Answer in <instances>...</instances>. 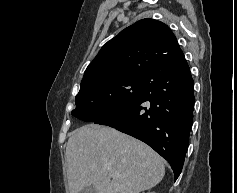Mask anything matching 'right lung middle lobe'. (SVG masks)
<instances>
[{
    "label": "right lung middle lobe",
    "instance_id": "obj_1",
    "mask_svg": "<svg viewBox=\"0 0 237 193\" xmlns=\"http://www.w3.org/2000/svg\"><path fill=\"white\" fill-rule=\"evenodd\" d=\"M143 79V76H126L81 87L72 115L84 121H95L117 111L138 95Z\"/></svg>",
    "mask_w": 237,
    "mask_h": 193
}]
</instances>
